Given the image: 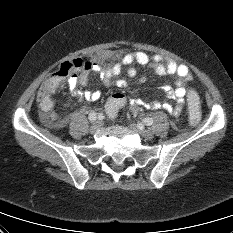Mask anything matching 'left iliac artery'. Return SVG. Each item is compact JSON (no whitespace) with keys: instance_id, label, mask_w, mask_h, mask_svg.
Wrapping results in <instances>:
<instances>
[{"instance_id":"44dca946","label":"left iliac artery","mask_w":233,"mask_h":233,"mask_svg":"<svg viewBox=\"0 0 233 233\" xmlns=\"http://www.w3.org/2000/svg\"><path fill=\"white\" fill-rule=\"evenodd\" d=\"M144 123L147 125V126H150L153 124V119L152 118H145L144 119Z\"/></svg>"}]
</instances>
